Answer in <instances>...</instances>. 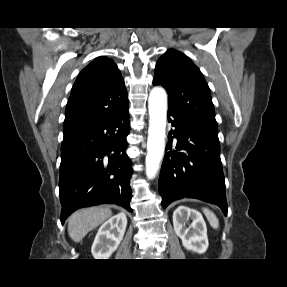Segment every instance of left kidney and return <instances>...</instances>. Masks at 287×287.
Instances as JSON below:
<instances>
[{
  "label": "left kidney",
  "instance_id": "1",
  "mask_svg": "<svg viewBox=\"0 0 287 287\" xmlns=\"http://www.w3.org/2000/svg\"><path fill=\"white\" fill-rule=\"evenodd\" d=\"M191 219L189 228L186 222ZM173 225L177 236L182 240V245L193 252L202 254L208 248L207 228L203 216L197 210L186 206H179L173 213Z\"/></svg>",
  "mask_w": 287,
  "mask_h": 287
}]
</instances>
